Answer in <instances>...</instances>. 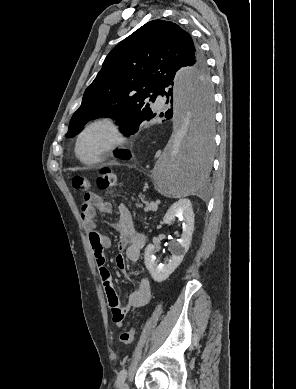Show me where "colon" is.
Segmentation results:
<instances>
[{
  "instance_id": "5ec220e1",
  "label": "colon",
  "mask_w": 296,
  "mask_h": 389,
  "mask_svg": "<svg viewBox=\"0 0 296 389\" xmlns=\"http://www.w3.org/2000/svg\"><path fill=\"white\" fill-rule=\"evenodd\" d=\"M117 185V176L115 172L109 167H103L99 170L97 176V186L106 191L112 190ZM72 186L75 190L88 194L90 189V183L87 177L83 175H76L72 179ZM122 320V315L120 312H116L113 316L114 322H120ZM135 336V329L132 328L128 331L121 333L120 341L123 345L129 346Z\"/></svg>"
}]
</instances>
